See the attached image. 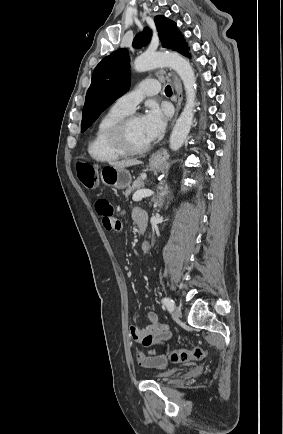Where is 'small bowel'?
Here are the masks:
<instances>
[{"label": "small bowel", "mask_w": 283, "mask_h": 434, "mask_svg": "<svg viewBox=\"0 0 283 434\" xmlns=\"http://www.w3.org/2000/svg\"><path fill=\"white\" fill-rule=\"evenodd\" d=\"M95 210L102 217L103 226L108 231H119L122 227L119 219L115 217L113 205L105 198H99L95 202ZM133 218L138 224L141 221L147 222L145 212L140 209H135ZM147 324L140 327L136 324L130 327V334L134 341L141 343L145 347L152 345H163L171 337V333L167 326L158 321L157 316L153 312L146 315ZM138 361L141 365L149 368H163L167 365L168 360L164 354L145 355L138 352Z\"/></svg>", "instance_id": "1"}]
</instances>
